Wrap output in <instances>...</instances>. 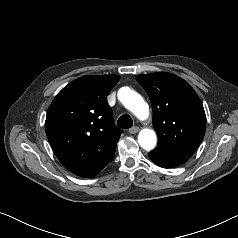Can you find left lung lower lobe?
Returning a JSON list of instances; mask_svg holds the SVG:
<instances>
[{
	"instance_id": "obj_1",
	"label": "left lung lower lobe",
	"mask_w": 238,
	"mask_h": 238,
	"mask_svg": "<svg viewBox=\"0 0 238 238\" xmlns=\"http://www.w3.org/2000/svg\"><path fill=\"white\" fill-rule=\"evenodd\" d=\"M191 156L172 153L164 148L156 147L149 153V158L156 165L163 168L176 167L185 163Z\"/></svg>"
}]
</instances>
